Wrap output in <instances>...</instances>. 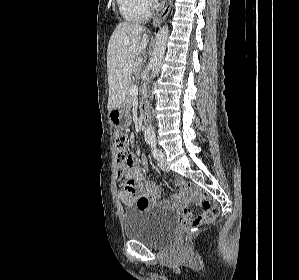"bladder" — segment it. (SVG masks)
Segmentation results:
<instances>
[{
  "label": "bladder",
  "instance_id": "1",
  "mask_svg": "<svg viewBox=\"0 0 299 280\" xmlns=\"http://www.w3.org/2000/svg\"><path fill=\"white\" fill-rule=\"evenodd\" d=\"M176 227L177 220L174 213L157 205L127 210L123 216L125 237L152 248L168 245Z\"/></svg>",
  "mask_w": 299,
  "mask_h": 280
}]
</instances>
